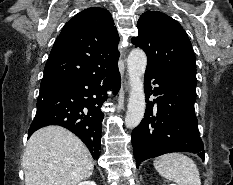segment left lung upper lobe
<instances>
[{
  "label": "left lung upper lobe",
  "instance_id": "1",
  "mask_svg": "<svg viewBox=\"0 0 233 185\" xmlns=\"http://www.w3.org/2000/svg\"><path fill=\"white\" fill-rule=\"evenodd\" d=\"M139 34L132 43L147 54V68L157 73L196 79L192 45L182 26L159 11H146L137 23Z\"/></svg>",
  "mask_w": 233,
  "mask_h": 185
}]
</instances>
